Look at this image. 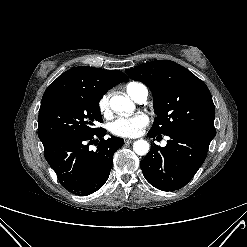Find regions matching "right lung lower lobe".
I'll return each instance as SVG.
<instances>
[{
  "instance_id": "right-lung-lower-lobe-1",
  "label": "right lung lower lobe",
  "mask_w": 247,
  "mask_h": 247,
  "mask_svg": "<svg viewBox=\"0 0 247 247\" xmlns=\"http://www.w3.org/2000/svg\"><path fill=\"white\" fill-rule=\"evenodd\" d=\"M105 134L106 130L100 128L94 133L69 135L43 144L48 164L71 193L88 195L107 181L113 154L124 141L113 136L104 140ZM91 144L98 145L96 151L89 148Z\"/></svg>"
}]
</instances>
